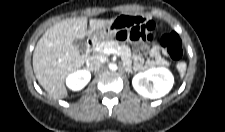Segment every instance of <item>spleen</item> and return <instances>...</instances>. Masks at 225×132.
<instances>
[{
    "label": "spleen",
    "instance_id": "spleen-1",
    "mask_svg": "<svg viewBox=\"0 0 225 132\" xmlns=\"http://www.w3.org/2000/svg\"><path fill=\"white\" fill-rule=\"evenodd\" d=\"M176 67L180 73V77L183 78L186 68H187V64L185 62H179Z\"/></svg>",
    "mask_w": 225,
    "mask_h": 132
}]
</instances>
